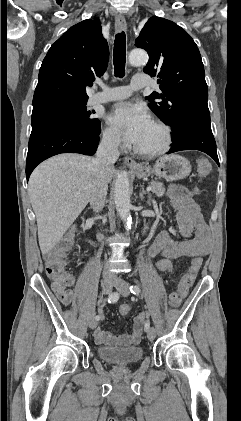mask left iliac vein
I'll list each match as a JSON object with an SVG mask.
<instances>
[{
	"instance_id": "left-iliac-vein-1",
	"label": "left iliac vein",
	"mask_w": 241,
	"mask_h": 421,
	"mask_svg": "<svg viewBox=\"0 0 241 421\" xmlns=\"http://www.w3.org/2000/svg\"><path fill=\"white\" fill-rule=\"evenodd\" d=\"M113 284H114V286H115V288L117 289V291L122 295V296H124V297H126V296H128L129 295V284L125 281V280H123V279H121V278H119V277H116L115 279H114V281H113ZM155 336H156V330H155V328L154 327H151L149 330H148V333H147V337H148V339L150 340V341H152V340H154L155 339Z\"/></svg>"
}]
</instances>
